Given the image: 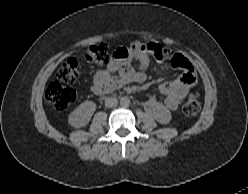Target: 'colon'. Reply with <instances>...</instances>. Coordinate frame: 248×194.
I'll use <instances>...</instances> for the list:
<instances>
[{"label":"colon","instance_id":"5ec220e1","mask_svg":"<svg viewBox=\"0 0 248 194\" xmlns=\"http://www.w3.org/2000/svg\"><path fill=\"white\" fill-rule=\"evenodd\" d=\"M156 61L171 62L173 54L158 47L152 50ZM86 60L100 67L107 66L110 61L108 47L104 43L90 46L86 51ZM81 62L78 58L67 59L58 70L55 79L51 80L46 88V98L57 109H65L75 101L76 93L71 84L79 77ZM200 110V98L196 91H191L182 105V111L187 117H194Z\"/></svg>","mask_w":248,"mask_h":194}]
</instances>
